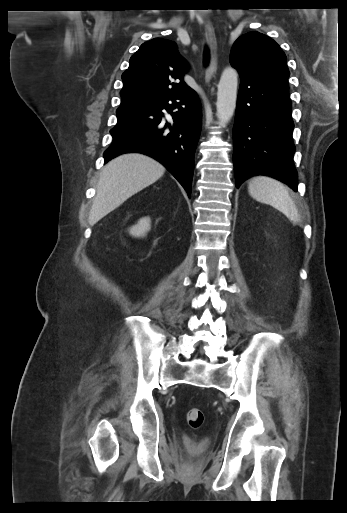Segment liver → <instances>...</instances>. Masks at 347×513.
Masks as SVG:
<instances>
[{
  "mask_svg": "<svg viewBox=\"0 0 347 513\" xmlns=\"http://www.w3.org/2000/svg\"><path fill=\"white\" fill-rule=\"evenodd\" d=\"M165 172L156 160L139 153L122 154L103 169L90 212V225L118 208L124 201L155 183Z\"/></svg>",
  "mask_w": 347,
  "mask_h": 513,
  "instance_id": "6515ba94",
  "label": "liver"
}]
</instances>
